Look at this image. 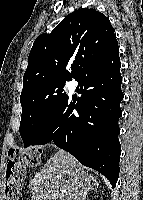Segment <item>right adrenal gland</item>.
<instances>
[{
	"instance_id": "right-adrenal-gland-1",
	"label": "right adrenal gland",
	"mask_w": 143,
	"mask_h": 200,
	"mask_svg": "<svg viewBox=\"0 0 143 200\" xmlns=\"http://www.w3.org/2000/svg\"><path fill=\"white\" fill-rule=\"evenodd\" d=\"M98 185L99 184L97 183L96 179H93V189L94 190H96L98 188ZM82 200H86V196H84Z\"/></svg>"
}]
</instances>
